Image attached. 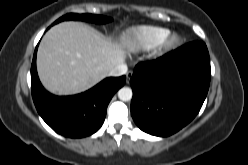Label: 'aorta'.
Wrapping results in <instances>:
<instances>
[{"label":"aorta","mask_w":248,"mask_h":165,"mask_svg":"<svg viewBox=\"0 0 248 165\" xmlns=\"http://www.w3.org/2000/svg\"><path fill=\"white\" fill-rule=\"evenodd\" d=\"M118 98L122 101H129L132 99V90L128 87H123L118 91Z\"/></svg>","instance_id":"aorta-1"}]
</instances>
